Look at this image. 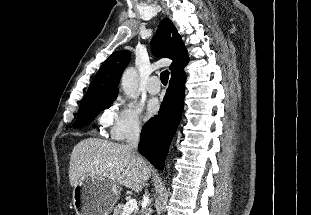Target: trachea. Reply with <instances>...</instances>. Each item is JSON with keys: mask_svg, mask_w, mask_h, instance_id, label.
<instances>
[{"mask_svg": "<svg viewBox=\"0 0 311 215\" xmlns=\"http://www.w3.org/2000/svg\"><path fill=\"white\" fill-rule=\"evenodd\" d=\"M169 79V71L165 70L160 74V80L163 85H167Z\"/></svg>", "mask_w": 311, "mask_h": 215, "instance_id": "trachea-1", "label": "trachea"}]
</instances>
